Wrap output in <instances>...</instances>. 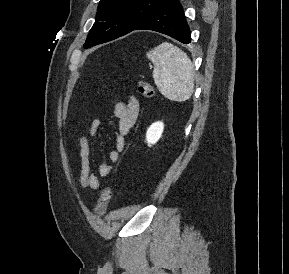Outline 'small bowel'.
<instances>
[{
	"label": "small bowel",
	"instance_id": "c3829d8e",
	"mask_svg": "<svg viewBox=\"0 0 289 274\" xmlns=\"http://www.w3.org/2000/svg\"><path fill=\"white\" fill-rule=\"evenodd\" d=\"M139 114L138 100L130 96L126 102L117 101L114 104V115L117 119V135L115 148L110 151L109 159L112 163H117L120 160L121 153L125 150V139L136 122ZM100 127V120L93 118L89 124L87 132H83L79 139L80 146V160H81V173L80 184L84 189L96 190L100 187V181L97 174L91 167V148L90 138L97 136ZM114 170V166L108 163H101L98 166V174L102 177L109 176Z\"/></svg>",
	"mask_w": 289,
	"mask_h": 274
}]
</instances>
